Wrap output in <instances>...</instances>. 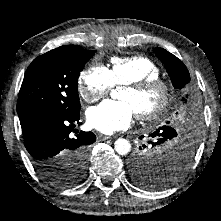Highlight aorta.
Instances as JSON below:
<instances>
[{
	"label": "aorta",
	"instance_id": "aorta-1",
	"mask_svg": "<svg viewBox=\"0 0 221 221\" xmlns=\"http://www.w3.org/2000/svg\"><path fill=\"white\" fill-rule=\"evenodd\" d=\"M114 149L119 155H126L131 150V144L124 138H119L114 143Z\"/></svg>",
	"mask_w": 221,
	"mask_h": 221
}]
</instances>
